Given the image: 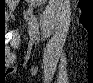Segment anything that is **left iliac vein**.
<instances>
[{"label": "left iliac vein", "mask_w": 93, "mask_h": 83, "mask_svg": "<svg viewBox=\"0 0 93 83\" xmlns=\"http://www.w3.org/2000/svg\"><path fill=\"white\" fill-rule=\"evenodd\" d=\"M28 31H29L30 37L32 38L34 34V30H33V26L31 23H28Z\"/></svg>", "instance_id": "1"}]
</instances>
